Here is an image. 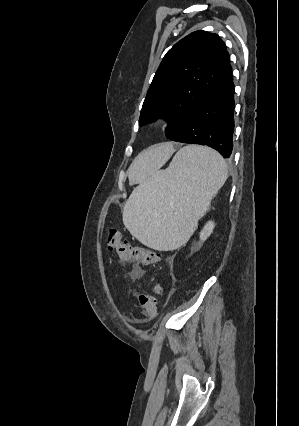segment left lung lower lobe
I'll use <instances>...</instances> for the list:
<instances>
[{"mask_svg":"<svg viewBox=\"0 0 299 426\" xmlns=\"http://www.w3.org/2000/svg\"><path fill=\"white\" fill-rule=\"evenodd\" d=\"M234 107V83L230 68L171 140L207 145L219 151L224 158H229L233 148Z\"/></svg>","mask_w":299,"mask_h":426,"instance_id":"obj_1","label":"left lung lower lobe"}]
</instances>
